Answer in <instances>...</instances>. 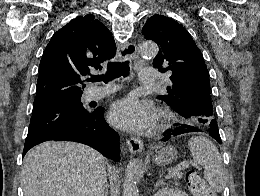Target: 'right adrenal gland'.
I'll use <instances>...</instances> for the list:
<instances>
[{
    "instance_id": "2a0ac1e0",
    "label": "right adrenal gland",
    "mask_w": 260,
    "mask_h": 196,
    "mask_svg": "<svg viewBox=\"0 0 260 196\" xmlns=\"http://www.w3.org/2000/svg\"><path fill=\"white\" fill-rule=\"evenodd\" d=\"M106 190H105V194L104 196H108V192H109V186H105Z\"/></svg>"
}]
</instances>
